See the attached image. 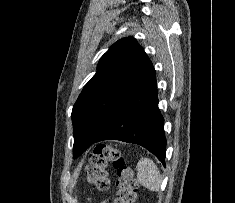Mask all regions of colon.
<instances>
[{"label": "colon", "instance_id": "colon-1", "mask_svg": "<svg viewBox=\"0 0 235 203\" xmlns=\"http://www.w3.org/2000/svg\"><path fill=\"white\" fill-rule=\"evenodd\" d=\"M116 171V193L112 203H134L137 182L120 151L111 145H99L91 153L86 177L100 191L109 188V165Z\"/></svg>", "mask_w": 235, "mask_h": 203}]
</instances>
